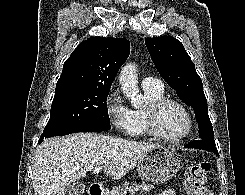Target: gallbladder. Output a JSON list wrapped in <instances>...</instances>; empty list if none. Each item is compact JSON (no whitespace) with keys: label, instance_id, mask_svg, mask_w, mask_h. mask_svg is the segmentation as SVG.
Returning a JSON list of instances; mask_svg holds the SVG:
<instances>
[{"label":"gallbladder","instance_id":"obj_1","mask_svg":"<svg viewBox=\"0 0 245 195\" xmlns=\"http://www.w3.org/2000/svg\"><path fill=\"white\" fill-rule=\"evenodd\" d=\"M85 192V185L80 182L70 183L65 187L66 195H82Z\"/></svg>","mask_w":245,"mask_h":195}]
</instances>
